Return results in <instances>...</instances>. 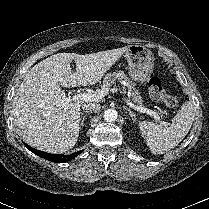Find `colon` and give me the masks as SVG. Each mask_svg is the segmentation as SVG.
Listing matches in <instances>:
<instances>
[{
	"instance_id": "obj_1",
	"label": "colon",
	"mask_w": 209,
	"mask_h": 209,
	"mask_svg": "<svg viewBox=\"0 0 209 209\" xmlns=\"http://www.w3.org/2000/svg\"><path fill=\"white\" fill-rule=\"evenodd\" d=\"M148 91L153 100L161 102L168 108H174L178 104L177 99L164 90L162 82L157 76L153 75L149 78Z\"/></svg>"
}]
</instances>
